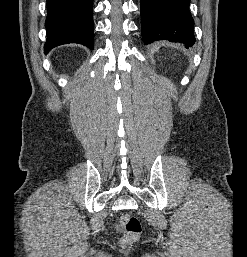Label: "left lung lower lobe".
<instances>
[{
    "instance_id": "1",
    "label": "left lung lower lobe",
    "mask_w": 247,
    "mask_h": 257,
    "mask_svg": "<svg viewBox=\"0 0 247 257\" xmlns=\"http://www.w3.org/2000/svg\"><path fill=\"white\" fill-rule=\"evenodd\" d=\"M141 31L144 44L158 40L195 43L190 0H140Z\"/></svg>"
}]
</instances>
